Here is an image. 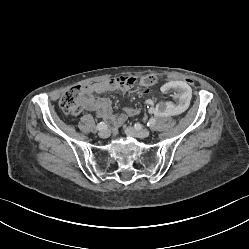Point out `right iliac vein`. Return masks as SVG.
Returning <instances> with one entry per match:
<instances>
[{
	"instance_id": "63e3f726",
	"label": "right iliac vein",
	"mask_w": 249,
	"mask_h": 249,
	"mask_svg": "<svg viewBox=\"0 0 249 249\" xmlns=\"http://www.w3.org/2000/svg\"><path fill=\"white\" fill-rule=\"evenodd\" d=\"M98 135L101 138H107L109 136V131L106 129H103V130L99 131Z\"/></svg>"
}]
</instances>
